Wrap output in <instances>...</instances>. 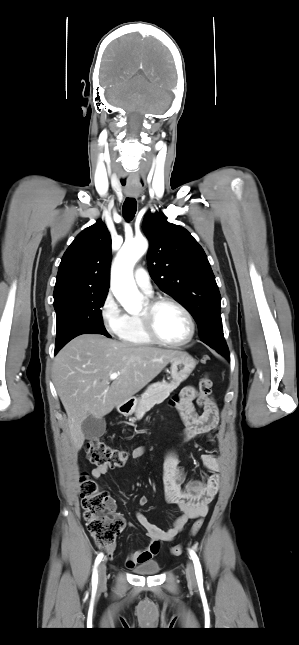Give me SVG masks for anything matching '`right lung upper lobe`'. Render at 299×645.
<instances>
[{
	"mask_svg": "<svg viewBox=\"0 0 299 645\" xmlns=\"http://www.w3.org/2000/svg\"><path fill=\"white\" fill-rule=\"evenodd\" d=\"M111 261V236L98 220L84 229L68 247L59 266L54 302L73 294L107 293Z\"/></svg>",
	"mask_w": 299,
	"mask_h": 645,
	"instance_id": "right-lung-upper-lobe-1",
	"label": "right lung upper lobe"
}]
</instances>
